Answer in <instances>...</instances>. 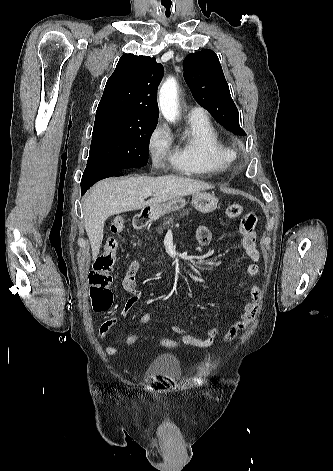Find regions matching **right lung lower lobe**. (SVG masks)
Here are the masks:
<instances>
[{
    "instance_id": "1",
    "label": "right lung lower lobe",
    "mask_w": 333,
    "mask_h": 471,
    "mask_svg": "<svg viewBox=\"0 0 333 471\" xmlns=\"http://www.w3.org/2000/svg\"><path fill=\"white\" fill-rule=\"evenodd\" d=\"M123 175L122 170H104V169H85L81 180V193L85 194L90 186L94 185L97 181L112 177Z\"/></svg>"
}]
</instances>
